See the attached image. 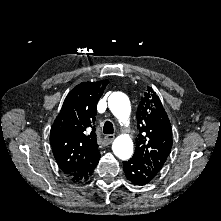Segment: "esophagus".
I'll use <instances>...</instances> for the list:
<instances>
[{"label":"esophagus","mask_w":221,"mask_h":221,"mask_svg":"<svg viewBox=\"0 0 221 221\" xmlns=\"http://www.w3.org/2000/svg\"><path fill=\"white\" fill-rule=\"evenodd\" d=\"M115 138V135H112V134H107L105 135L104 139L105 141H107L108 143H111Z\"/></svg>","instance_id":"obj_1"}]
</instances>
